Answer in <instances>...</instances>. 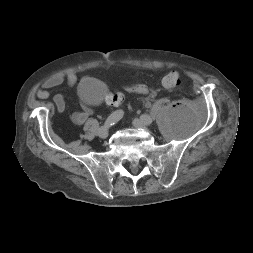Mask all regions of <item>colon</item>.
<instances>
[{
    "label": "colon",
    "mask_w": 253,
    "mask_h": 253,
    "mask_svg": "<svg viewBox=\"0 0 253 253\" xmlns=\"http://www.w3.org/2000/svg\"><path fill=\"white\" fill-rule=\"evenodd\" d=\"M181 80L179 75L176 72H171L167 74L163 79V85L167 88H173L180 84ZM123 88L127 91L139 93V94H147L148 88L145 85L136 84H124ZM105 101L107 104L112 106H118L123 103L124 96L120 92H108Z\"/></svg>",
    "instance_id": "5ec220e1"
}]
</instances>
